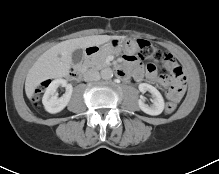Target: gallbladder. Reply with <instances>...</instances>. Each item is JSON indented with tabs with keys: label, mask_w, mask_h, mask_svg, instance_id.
Instances as JSON below:
<instances>
[{
	"label": "gallbladder",
	"mask_w": 219,
	"mask_h": 174,
	"mask_svg": "<svg viewBox=\"0 0 219 174\" xmlns=\"http://www.w3.org/2000/svg\"><path fill=\"white\" fill-rule=\"evenodd\" d=\"M84 56L83 50L82 49H76L73 53H72V63L73 64H78L82 61Z\"/></svg>",
	"instance_id": "1"
}]
</instances>
